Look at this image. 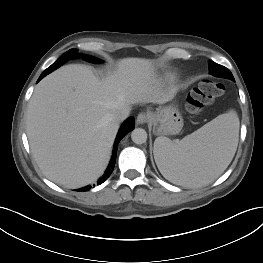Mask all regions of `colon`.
Returning <instances> with one entry per match:
<instances>
[{
    "label": "colon",
    "instance_id": "colon-1",
    "mask_svg": "<svg viewBox=\"0 0 263 263\" xmlns=\"http://www.w3.org/2000/svg\"><path fill=\"white\" fill-rule=\"evenodd\" d=\"M224 93V86L210 80L200 82L188 95L186 107L191 113H199Z\"/></svg>",
    "mask_w": 263,
    "mask_h": 263
}]
</instances>
